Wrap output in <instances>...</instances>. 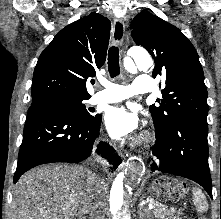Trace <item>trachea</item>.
Instances as JSON below:
<instances>
[{
  "instance_id": "1",
  "label": "trachea",
  "mask_w": 221,
  "mask_h": 219,
  "mask_svg": "<svg viewBox=\"0 0 221 219\" xmlns=\"http://www.w3.org/2000/svg\"><path fill=\"white\" fill-rule=\"evenodd\" d=\"M108 71L112 78L120 74L119 50L116 46H112L108 52Z\"/></svg>"
}]
</instances>
